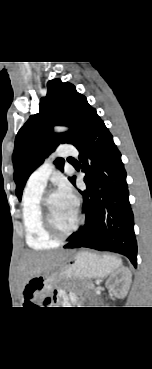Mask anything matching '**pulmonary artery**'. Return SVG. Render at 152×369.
Returning <instances> with one entry per match:
<instances>
[{
  "mask_svg": "<svg viewBox=\"0 0 152 369\" xmlns=\"http://www.w3.org/2000/svg\"><path fill=\"white\" fill-rule=\"evenodd\" d=\"M77 155V150L69 144L61 145L57 151L49 156L40 166H38L29 176L27 186L30 188L43 189L52 171V161L56 157H68Z\"/></svg>",
  "mask_w": 152,
  "mask_h": 369,
  "instance_id": "obj_1",
  "label": "pulmonary artery"
}]
</instances>
